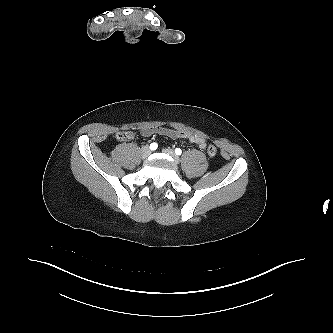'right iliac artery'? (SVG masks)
<instances>
[{
	"mask_svg": "<svg viewBox=\"0 0 333 333\" xmlns=\"http://www.w3.org/2000/svg\"><path fill=\"white\" fill-rule=\"evenodd\" d=\"M157 147H158V145L155 142L150 144V149L151 150H155V149H157Z\"/></svg>",
	"mask_w": 333,
	"mask_h": 333,
	"instance_id": "82829eb1",
	"label": "right iliac artery"
}]
</instances>
